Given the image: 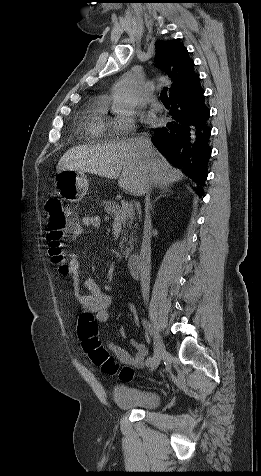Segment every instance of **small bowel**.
I'll return each mask as SVG.
<instances>
[{
    "mask_svg": "<svg viewBox=\"0 0 261 476\" xmlns=\"http://www.w3.org/2000/svg\"><path fill=\"white\" fill-rule=\"evenodd\" d=\"M101 226V219L98 216H85L77 224L72 236L77 237L86 228L98 229ZM68 272L72 280V287L74 295L78 298L83 312H90L94 315L95 322L99 323L107 322L109 318V309L114 303V299L104 293L99 285L93 279L81 280L80 278V260L79 257L71 252L69 253ZM82 289H86L88 294H83ZM131 312H134V306L128 304ZM121 337L127 336L125 328L119 329ZM131 346L135 349V353L131 354L123 347L107 341V349L125 366L130 368H140L143 366L146 356V347L143 343L134 339L130 340Z\"/></svg>",
    "mask_w": 261,
    "mask_h": 476,
    "instance_id": "c3829d8e",
    "label": "small bowel"
}]
</instances>
